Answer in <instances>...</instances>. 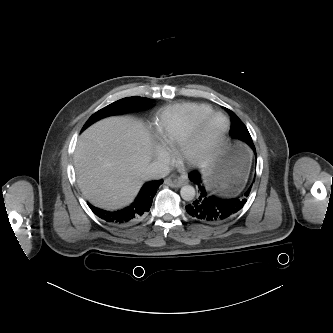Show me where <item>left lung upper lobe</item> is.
I'll return each mask as SVG.
<instances>
[{"label":"left lung upper lobe","mask_w":333,"mask_h":333,"mask_svg":"<svg viewBox=\"0 0 333 333\" xmlns=\"http://www.w3.org/2000/svg\"><path fill=\"white\" fill-rule=\"evenodd\" d=\"M224 109L231 116L232 124H231L230 134H231L232 139L234 141L245 142L252 148V150H255L252 138L248 132V129L243 124V122L231 110H229L227 108H224Z\"/></svg>","instance_id":"1"}]
</instances>
